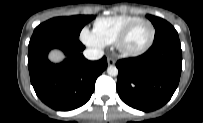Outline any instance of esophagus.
Segmentation results:
<instances>
[{"instance_id":"obj_1","label":"esophagus","mask_w":203,"mask_h":123,"mask_svg":"<svg viewBox=\"0 0 203 123\" xmlns=\"http://www.w3.org/2000/svg\"><path fill=\"white\" fill-rule=\"evenodd\" d=\"M107 63L109 66L114 65L115 64V60L113 58H108L107 59Z\"/></svg>"}]
</instances>
